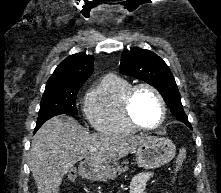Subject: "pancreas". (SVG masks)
I'll return each instance as SVG.
<instances>
[{
    "mask_svg": "<svg viewBox=\"0 0 221 193\" xmlns=\"http://www.w3.org/2000/svg\"><path fill=\"white\" fill-rule=\"evenodd\" d=\"M128 170V167L125 166L124 168L122 166H117L116 168L113 169L112 175L109 176V178L114 179L116 177V173L121 174L122 172H125Z\"/></svg>",
    "mask_w": 221,
    "mask_h": 193,
    "instance_id": "1",
    "label": "pancreas"
}]
</instances>
